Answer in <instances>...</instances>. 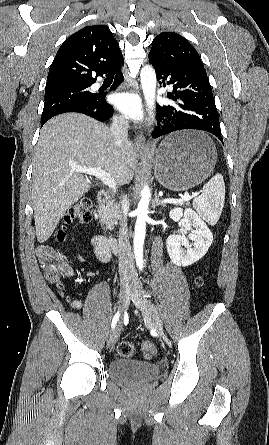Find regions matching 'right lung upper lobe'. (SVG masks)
Masks as SVG:
<instances>
[{"label": "right lung upper lobe", "instance_id": "1", "mask_svg": "<svg viewBox=\"0 0 269 445\" xmlns=\"http://www.w3.org/2000/svg\"><path fill=\"white\" fill-rule=\"evenodd\" d=\"M123 62L119 44L105 25L86 26L59 48L49 69L45 89L96 81L92 72L108 74Z\"/></svg>", "mask_w": 269, "mask_h": 445}]
</instances>
